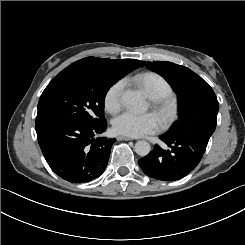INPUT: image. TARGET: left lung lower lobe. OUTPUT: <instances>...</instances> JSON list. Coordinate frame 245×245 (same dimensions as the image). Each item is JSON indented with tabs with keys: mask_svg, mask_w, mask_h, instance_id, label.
<instances>
[{
	"mask_svg": "<svg viewBox=\"0 0 245 245\" xmlns=\"http://www.w3.org/2000/svg\"><path fill=\"white\" fill-rule=\"evenodd\" d=\"M219 105H211L196 116H188L179 127L161 135L168 145H155L147 156L138 161L143 172L156 180L176 181L187 176L199 164L216 128Z\"/></svg>",
	"mask_w": 245,
	"mask_h": 245,
	"instance_id": "1",
	"label": "left lung lower lobe"
}]
</instances>
